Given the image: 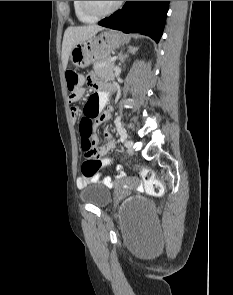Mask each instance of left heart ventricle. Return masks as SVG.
<instances>
[{"mask_svg":"<svg viewBox=\"0 0 233 295\" xmlns=\"http://www.w3.org/2000/svg\"><path fill=\"white\" fill-rule=\"evenodd\" d=\"M92 7L97 11H106L110 9L117 1H90Z\"/></svg>","mask_w":233,"mask_h":295,"instance_id":"b2bd125f","label":"left heart ventricle"}]
</instances>
